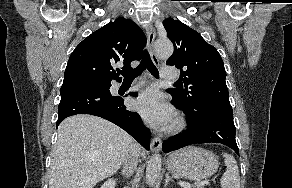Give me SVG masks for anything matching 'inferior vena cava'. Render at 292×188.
Masks as SVG:
<instances>
[{"mask_svg": "<svg viewBox=\"0 0 292 188\" xmlns=\"http://www.w3.org/2000/svg\"><path fill=\"white\" fill-rule=\"evenodd\" d=\"M139 149L136 144H134L130 151L128 156L126 157L124 161V167L122 170V174L126 177H129L131 174H133L136 166H137V161L139 157Z\"/></svg>", "mask_w": 292, "mask_h": 188, "instance_id": "inferior-vena-cava-1", "label": "inferior vena cava"}]
</instances>
